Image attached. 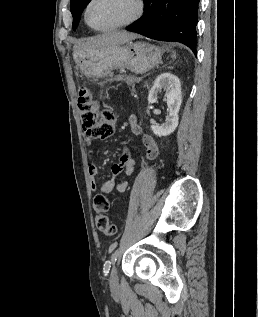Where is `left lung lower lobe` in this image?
Instances as JSON below:
<instances>
[{
	"mask_svg": "<svg viewBox=\"0 0 258 317\" xmlns=\"http://www.w3.org/2000/svg\"><path fill=\"white\" fill-rule=\"evenodd\" d=\"M199 1L145 0L144 15L126 29L160 41L183 43L196 55Z\"/></svg>",
	"mask_w": 258,
	"mask_h": 317,
	"instance_id": "1",
	"label": "left lung lower lobe"
}]
</instances>
